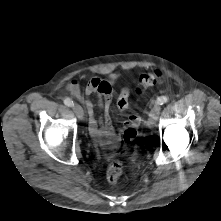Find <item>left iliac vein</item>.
Wrapping results in <instances>:
<instances>
[{
  "instance_id": "left-iliac-vein-1",
  "label": "left iliac vein",
  "mask_w": 221,
  "mask_h": 221,
  "mask_svg": "<svg viewBox=\"0 0 221 221\" xmlns=\"http://www.w3.org/2000/svg\"><path fill=\"white\" fill-rule=\"evenodd\" d=\"M159 112H160V107L158 105H155L149 114V119H148V126L149 127H152L155 125V123L158 119V116H159Z\"/></svg>"
}]
</instances>
